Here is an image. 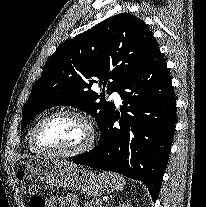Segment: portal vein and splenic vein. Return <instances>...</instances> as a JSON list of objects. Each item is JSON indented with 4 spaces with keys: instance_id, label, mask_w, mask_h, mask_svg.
<instances>
[{
    "instance_id": "obj_1",
    "label": "portal vein and splenic vein",
    "mask_w": 206,
    "mask_h": 207,
    "mask_svg": "<svg viewBox=\"0 0 206 207\" xmlns=\"http://www.w3.org/2000/svg\"><path fill=\"white\" fill-rule=\"evenodd\" d=\"M99 205H100V206L102 205L101 201H100Z\"/></svg>"
}]
</instances>
